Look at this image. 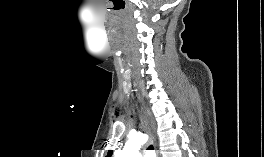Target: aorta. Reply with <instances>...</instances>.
<instances>
[{"label": "aorta", "mask_w": 264, "mask_h": 157, "mask_svg": "<svg viewBox=\"0 0 264 157\" xmlns=\"http://www.w3.org/2000/svg\"><path fill=\"white\" fill-rule=\"evenodd\" d=\"M147 141V136L137 134L131 137L122 150L116 152V157H139L141 146Z\"/></svg>", "instance_id": "obj_1"}]
</instances>
